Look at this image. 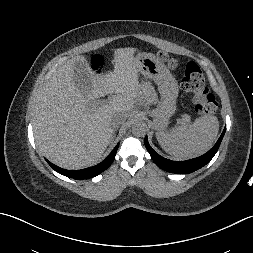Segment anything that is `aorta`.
Returning a JSON list of instances; mask_svg holds the SVG:
<instances>
[{
  "label": "aorta",
  "mask_w": 253,
  "mask_h": 253,
  "mask_svg": "<svg viewBox=\"0 0 253 253\" xmlns=\"http://www.w3.org/2000/svg\"><path fill=\"white\" fill-rule=\"evenodd\" d=\"M148 130L147 124L138 119L132 125V132L136 136H144Z\"/></svg>",
  "instance_id": "1"
}]
</instances>
